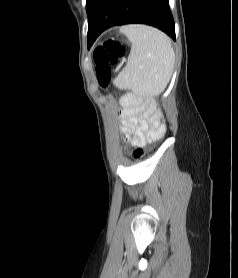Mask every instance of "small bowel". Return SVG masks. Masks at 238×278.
<instances>
[{
	"instance_id": "1",
	"label": "small bowel",
	"mask_w": 238,
	"mask_h": 278,
	"mask_svg": "<svg viewBox=\"0 0 238 278\" xmlns=\"http://www.w3.org/2000/svg\"><path fill=\"white\" fill-rule=\"evenodd\" d=\"M123 105V131L132 145L144 146L159 136L161 128L146 92L138 90L128 94Z\"/></svg>"
}]
</instances>
